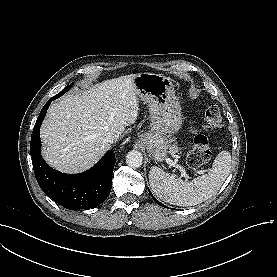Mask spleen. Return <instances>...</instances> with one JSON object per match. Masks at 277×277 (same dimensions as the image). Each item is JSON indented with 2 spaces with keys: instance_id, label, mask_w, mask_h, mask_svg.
<instances>
[{
  "instance_id": "obj_1",
  "label": "spleen",
  "mask_w": 277,
  "mask_h": 277,
  "mask_svg": "<svg viewBox=\"0 0 277 277\" xmlns=\"http://www.w3.org/2000/svg\"><path fill=\"white\" fill-rule=\"evenodd\" d=\"M231 170L230 152H219L207 174L186 182L161 168L151 167L149 183L155 195L161 200L178 206H192L214 196Z\"/></svg>"
}]
</instances>
